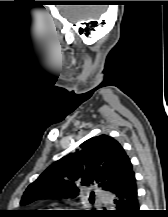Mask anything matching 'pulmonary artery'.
Here are the masks:
<instances>
[{
    "label": "pulmonary artery",
    "mask_w": 168,
    "mask_h": 217,
    "mask_svg": "<svg viewBox=\"0 0 168 217\" xmlns=\"http://www.w3.org/2000/svg\"><path fill=\"white\" fill-rule=\"evenodd\" d=\"M96 196L101 200L102 203L107 204L109 202V198L102 191H96Z\"/></svg>",
    "instance_id": "pulmonary-artery-1"
}]
</instances>
